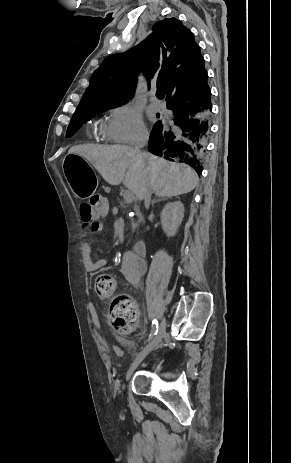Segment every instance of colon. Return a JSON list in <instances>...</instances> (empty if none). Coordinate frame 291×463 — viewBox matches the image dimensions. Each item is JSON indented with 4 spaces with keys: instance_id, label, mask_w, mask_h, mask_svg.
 Returning a JSON list of instances; mask_svg holds the SVG:
<instances>
[{
    "instance_id": "obj_1",
    "label": "colon",
    "mask_w": 291,
    "mask_h": 463,
    "mask_svg": "<svg viewBox=\"0 0 291 463\" xmlns=\"http://www.w3.org/2000/svg\"><path fill=\"white\" fill-rule=\"evenodd\" d=\"M80 210L89 220L94 217H107L108 209L104 198L94 196L89 203L82 204ZM95 292L102 299H112L109 307V317L115 329L120 333H130L136 326L138 310L136 304L129 298L114 296L116 281L112 275L102 274L96 277L94 283Z\"/></svg>"
}]
</instances>
